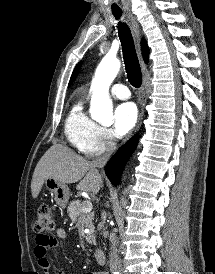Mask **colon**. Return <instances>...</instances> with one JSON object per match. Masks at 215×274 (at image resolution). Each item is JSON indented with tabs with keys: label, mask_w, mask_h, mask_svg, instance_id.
<instances>
[{
	"label": "colon",
	"mask_w": 215,
	"mask_h": 274,
	"mask_svg": "<svg viewBox=\"0 0 215 274\" xmlns=\"http://www.w3.org/2000/svg\"><path fill=\"white\" fill-rule=\"evenodd\" d=\"M54 228V221L51 210L47 205H41L37 211V218L34 223V231L40 235L50 232Z\"/></svg>",
	"instance_id": "obj_1"
}]
</instances>
